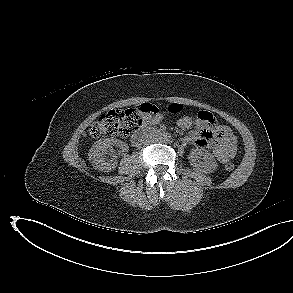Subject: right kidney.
Here are the masks:
<instances>
[{
  "mask_svg": "<svg viewBox=\"0 0 293 293\" xmlns=\"http://www.w3.org/2000/svg\"><path fill=\"white\" fill-rule=\"evenodd\" d=\"M117 146L122 149V152L128 150L127 144L123 141L115 138L100 139L94 143L89 150V160L92 166L99 171H111L117 166V160L115 155H111V158L107 156L112 152V147Z\"/></svg>",
  "mask_w": 293,
  "mask_h": 293,
  "instance_id": "obj_1",
  "label": "right kidney"
}]
</instances>
